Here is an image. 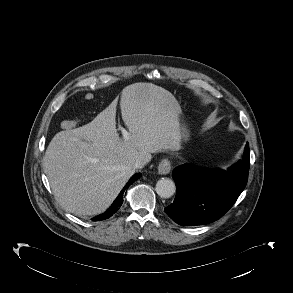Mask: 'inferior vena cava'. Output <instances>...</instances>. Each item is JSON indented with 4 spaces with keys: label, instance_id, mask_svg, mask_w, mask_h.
Returning a JSON list of instances; mask_svg holds the SVG:
<instances>
[{
    "label": "inferior vena cava",
    "instance_id": "obj_1",
    "mask_svg": "<svg viewBox=\"0 0 293 293\" xmlns=\"http://www.w3.org/2000/svg\"><path fill=\"white\" fill-rule=\"evenodd\" d=\"M150 159H151V155H148L144 158L137 159L133 164V168L134 169L143 168L150 161Z\"/></svg>",
    "mask_w": 293,
    "mask_h": 293
}]
</instances>
